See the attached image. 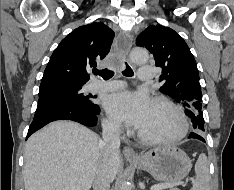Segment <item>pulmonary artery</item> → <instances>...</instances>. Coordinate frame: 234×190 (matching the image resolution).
Wrapping results in <instances>:
<instances>
[{"instance_id":"obj_1","label":"pulmonary artery","mask_w":234,"mask_h":190,"mask_svg":"<svg viewBox=\"0 0 234 190\" xmlns=\"http://www.w3.org/2000/svg\"><path fill=\"white\" fill-rule=\"evenodd\" d=\"M154 68L152 66H142L139 68L138 79L140 81H149L153 78ZM124 84L120 81L95 82L91 84L93 91H111L123 88Z\"/></svg>"}]
</instances>
